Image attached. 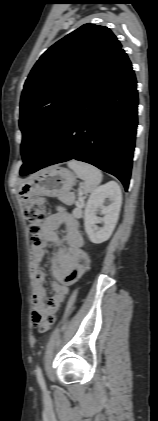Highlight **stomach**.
I'll list each match as a JSON object with an SVG mask.
<instances>
[{"instance_id":"stomach-1","label":"stomach","mask_w":158,"mask_h":421,"mask_svg":"<svg viewBox=\"0 0 158 421\" xmlns=\"http://www.w3.org/2000/svg\"><path fill=\"white\" fill-rule=\"evenodd\" d=\"M76 182V176L66 168H46L21 184L19 192L28 200L36 196L61 197L69 193Z\"/></svg>"}]
</instances>
